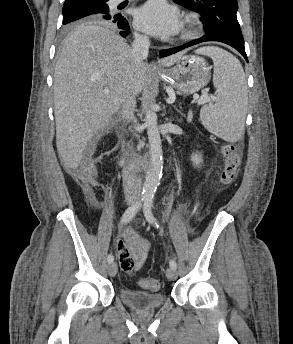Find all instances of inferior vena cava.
<instances>
[{
  "label": "inferior vena cava",
  "mask_w": 293,
  "mask_h": 344,
  "mask_svg": "<svg viewBox=\"0 0 293 344\" xmlns=\"http://www.w3.org/2000/svg\"><path fill=\"white\" fill-rule=\"evenodd\" d=\"M150 47L149 37L139 33L134 34V41L131 49L132 65L127 71L120 94L121 117L124 123H129L134 116L135 111V73L142 61L148 56ZM125 150L123 155V188L125 196L128 198H138L141 195V183L136 178L135 167L133 164V146L130 143H124Z\"/></svg>",
  "instance_id": "inferior-vena-cava-1"
}]
</instances>
